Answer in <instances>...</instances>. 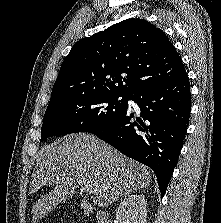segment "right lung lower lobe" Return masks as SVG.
Masks as SVG:
<instances>
[{"label": "right lung lower lobe", "mask_w": 221, "mask_h": 223, "mask_svg": "<svg viewBox=\"0 0 221 223\" xmlns=\"http://www.w3.org/2000/svg\"><path fill=\"white\" fill-rule=\"evenodd\" d=\"M190 97L189 78L185 73L174 82L132 95L129 99L139 106L140 115L127 107L110 122L88 132L150 167L163 197L189 124Z\"/></svg>", "instance_id": "obj_1"}]
</instances>
